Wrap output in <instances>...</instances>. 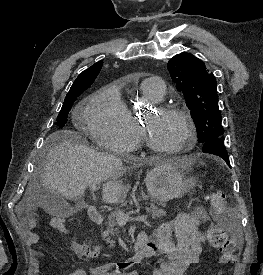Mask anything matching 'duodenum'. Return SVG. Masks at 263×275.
<instances>
[{"label":"duodenum","instance_id":"1","mask_svg":"<svg viewBox=\"0 0 263 275\" xmlns=\"http://www.w3.org/2000/svg\"><path fill=\"white\" fill-rule=\"evenodd\" d=\"M88 214L94 223L101 224L103 222V216L94 207L89 208ZM150 256L151 250L148 236L145 233H140L136 239L132 256L116 263V266L121 270H126L130 266Z\"/></svg>","mask_w":263,"mask_h":275}]
</instances>
